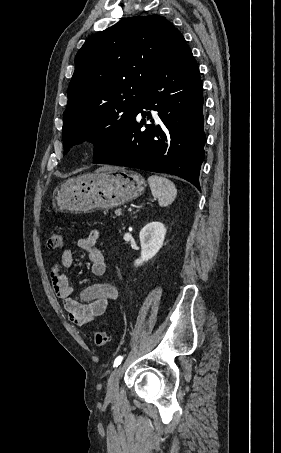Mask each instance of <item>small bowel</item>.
Wrapping results in <instances>:
<instances>
[{
    "label": "small bowel",
    "instance_id": "1",
    "mask_svg": "<svg viewBox=\"0 0 281 453\" xmlns=\"http://www.w3.org/2000/svg\"><path fill=\"white\" fill-rule=\"evenodd\" d=\"M99 236V230L93 229L87 237L79 239L77 243L78 248L89 256V272L94 277L104 276L106 273L104 255L95 246ZM73 265V252L65 250L60 261L52 265L49 276L54 284L55 294L63 300L69 319L78 326H85L102 315L107 306L118 299L119 293L112 285H94L84 287L80 291L78 299L72 298V288L65 270L72 269Z\"/></svg>",
    "mask_w": 281,
    "mask_h": 453
}]
</instances>
